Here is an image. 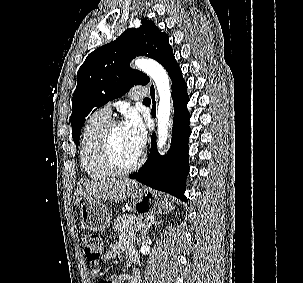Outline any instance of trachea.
Wrapping results in <instances>:
<instances>
[{"mask_svg": "<svg viewBox=\"0 0 303 283\" xmlns=\"http://www.w3.org/2000/svg\"><path fill=\"white\" fill-rule=\"evenodd\" d=\"M151 100L149 99V98H145L144 100H143V102H150Z\"/></svg>", "mask_w": 303, "mask_h": 283, "instance_id": "3493384b", "label": "trachea"}]
</instances>
